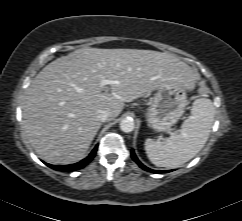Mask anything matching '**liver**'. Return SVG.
Instances as JSON below:
<instances>
[{"label":"liver","mask_w":242,"mask_h":221,"mask_svg":"<svg viewBox=\"0 0 242 221\" xmlns=\"http://www.w3.org/2000/svg\"><path fill=\"white\" fill-rule=\"evenodd\" d=\"M103 79L111 84L101 85ZM195 73L171 53L139 49L81 48L46 65L23 102V130L36 153L52 164L81 160L101 121L114 120L124 101L165 83L194 86Z\"/></svg>","instance_id":"liver-1"}]
</instances>
